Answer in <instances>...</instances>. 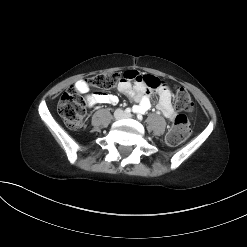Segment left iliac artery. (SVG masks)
I'll list each match as a JSON object with an SVG mask.
<instances>
[{
    "mask_svg": "<svg viewBox=\"0 0 247 247\" xmlns=\"http://www.w3.org/2000/svg\"><path fill=\"white\" fill-rule=\"evenodd\" d=\"M137 118H138L139 120H142L143 117H142L141 114H138V115H137Z\"/></svg>",
    "mask_w": 247,
    "mask_h": 247,
    "instance_id": "left-iliac-artery-1",
    "label": "left iliac artery"
}]
</instances>
